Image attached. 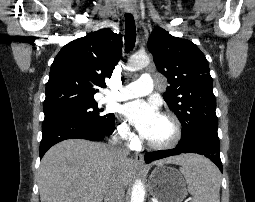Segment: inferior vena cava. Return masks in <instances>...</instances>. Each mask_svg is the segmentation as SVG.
Returning a JSON list of instances; mask_svg holds the SVG:
<instances>
[{"instance_id":"602c4592","label":"inferior vena cava","mask_w":255,"mask_h":202,"mask_svg":"<svg viewBox=\"0 0 255 202\" xmlns=\"http://www.w3.org/2000/svg\"><path fill=\"white\" fill-rule=\"evenodd\" d=\"M123 139L122 133L121 135H115L109 145L110 149L119 159H125L129 154L128 147L123 145ZM124 194L125 188L123 183L117 178L112 179L105 189L104 200L105 202H124Z\"/></svg>"}]
</instances>
